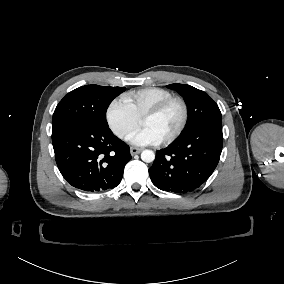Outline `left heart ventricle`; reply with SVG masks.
Instances as JSON below:
<instances>
[{
  "instance_id": "obj_1",
  "label": "left heart ventricle",
  "mask_w": 284,
  "mask_h": 284,
  "mask_svg": "<svg viewBox=\"0 0 284 284\" xmlns=\"http://www.w3.org/2000/svg\"><path fill=\"white\" fill-rule=\"evenodd\" d=\"M180 118L181 106L175 103L159 116L142 119L141 125L151 129L158 139L162 141L176 129Z\"/></svg>"
}]
</instances>
